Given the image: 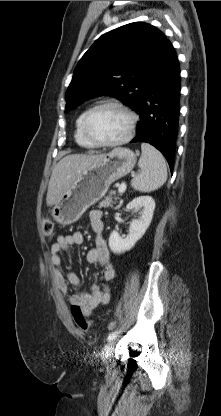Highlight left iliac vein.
Returning <instances> with one entry per match:
<instances>
[{
    "instance_id": "obj_1",
    "label": "left iliac vein",
    "mask_w": 221,
    "mask_h": 416,
    "mask_svg": "<svg viewBox=\"0 0 221 416\" xmlns=\"http://www.w3.org/2000/svg\"><path fill=\"white\" fill-rule=\"evenodd\" d=\"M115 345V340H110L104 347L105 354L112 352Z\"/></svg>"
}]
</instances>
